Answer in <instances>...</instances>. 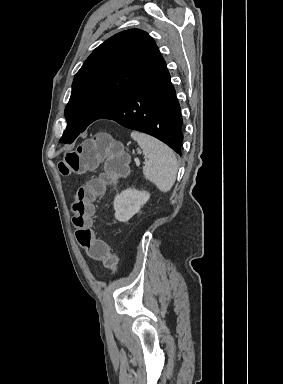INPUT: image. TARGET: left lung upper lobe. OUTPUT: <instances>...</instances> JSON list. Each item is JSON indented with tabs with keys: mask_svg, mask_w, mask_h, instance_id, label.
Segmentation results:
<instances>
[{
	"mask_svg": "<svg viewBox=\"0 0 283 384\" xmlns=\"http://www.w3.org/2000/svg\"><path fill=\"white\" fill-rule=\"evenodd\" d=\"M159 49L145 31H122L86 59L72 83L65 108L67 128L60 142L72 143L89 124L117 106L161 62Z\"/></svg>",
	"mask_w": 283,
	"mask_h": 384,
	"instance_id": "left-lung-upper-lobe-1",
	"label": "left lung upper lobe"
}]
</instances>
